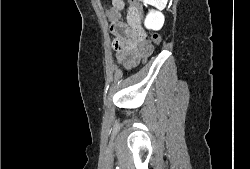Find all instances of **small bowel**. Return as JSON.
<instances>
[{
  "label": "small bowel",
  "mask_w": 250,
  "mask_h": 169,
  "mask_svg": "<svg viewBox=\"0 0 250 169\" xmlns=\"http://www.w3.org/2000/svg\"><path fill=\"white\" fill-rule=\"evenodd\" d=\"M120 11L121 9L113 5L109 11V18L112 22L120 20ZM113 46L116 50L117 60L127 69L136 66L142 58L148 56L152 51L151 45L141 40L134 31L129 30L125 34H118Z\"/></svg>",
  "instance_id": "small-bowel-1"
}]
</instances>
